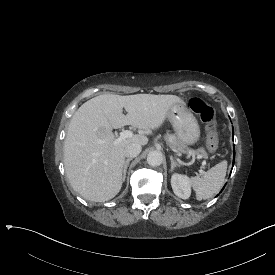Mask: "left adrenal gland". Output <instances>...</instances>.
<instances>
[{
  "label": "left adrenal gland",
  "mask_w": 275,
  "mask_h": 275,
  "mask_svg": "<svg viewBox=\"0 0 275 275\" xmlns=\"http://www.w3.org/2000/svg\"><path fill=\"white\" fill-rule=\"evenodd\" d=\"M170 161H171L170 172H172L176 166H179V164L176 161H174L173 156H170Z\"/></svg>",
  "instance_id": "1"
}]
</instances>
